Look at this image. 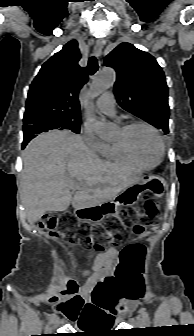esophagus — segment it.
<instances>
[{"label":"esophagus","mask_w":194,"mask_h":336,"mask_svg":"<svg viewBox=\"0 0 194 336\" xmlns=\"http://www.w3.org/2000/svg\"><path fill=\"white\" fill-rule=\"evenodd\" d=\"M104 40L98 39L96 40L95 46H94V53L97 57H100L102 54Z\"/></svg>","instance_id":"esophagus-1"}]
</instances>
